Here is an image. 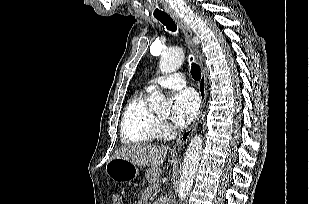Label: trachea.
I'll list each match as a JSON object with an SVG mask.
<instances>
[{
	"label": "trachea",
	"mask_w": 309,
	"mask_h": 204,
	"mask_svg": "<svg viewBox=\"0 0 309 204\" xmlns=\"http://www.w3.org/2000/svg\"><path fill=\"white\" fill-rule=\"evenodd\" d=\"M166 28L172 32L177 30V26L175 25L174 21L168 15H161L156 17ZM192 61V58H191ZM191 74L194 80L198 81L201 79V71L200 67L193 63L191 64Z\"/></svg>",
	"instance_id": "trachea-1"
}]
</instances>
